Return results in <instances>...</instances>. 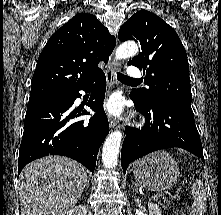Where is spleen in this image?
Instances as JSON below:
<instances>
[{"mask_svg":"<svg viewBox=\"0 0 221 215\" xmlns=\"http://www.w3.org/2000/svg\"><path fill=\"white\" fill-rule=\"evenodd\" d=\"M191 192L194 197V203L192 204V212L194 213V215H201L206 207V194L203 188V184L200 180H196Z\"/></svg>","mask_w":221,"mask_h":215,"instance_id":"1","label":"spleen"}]
</instances>
